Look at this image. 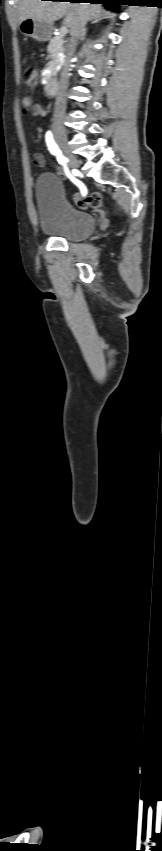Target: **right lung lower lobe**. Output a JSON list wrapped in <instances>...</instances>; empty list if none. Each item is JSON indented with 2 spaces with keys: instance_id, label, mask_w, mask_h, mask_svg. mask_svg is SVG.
Wrapping results in <instances>:
<instances>
[{
  "instance_id": "1",
  "label": "right lung lower lobe",
  "mask_w": 162,
  "mask_h": 851,
  "mask_svg": "<svg viewBox=\"0 0 162 851\" xmlns=\"http://www.w3.org/2000/svg\"><path fill=\"white\" fill-rule=\"evenodd\" d=\"M54 1H63V0H54ZM69 1L70 2H80V3L88 2V3H91V4H105V6L108 9L113 10V11H117L119 5H121L122 2H125L124 0H69Z\"/></svg>"
}]
</instances>
